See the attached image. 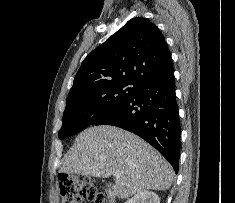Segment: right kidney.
<instances>
[{"label": "right kidney", "instance_id": "obj_1", "mask_svg": "<svg viewBox=\"0 0 235 203\" xmlns=\"http://www.w3.org/2000/svg\"><path fill=\"white\" fill-rule=\"evenodd\" d=\"M125 203H160V198L156 193L144 190L135 194Z\"/></svg>", "mask_w": 235, "mask_h": 203}]
</instances>
